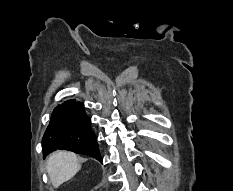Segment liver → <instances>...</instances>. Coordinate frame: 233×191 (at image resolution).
Listing matches in <instances>:
<instances>
[{
	"instance_id": "1",
	"label": "liver",
	"mask_w": 233,
	"mask_h": 191,
	"mask_svg": "<svg viewBox=\"0 0 233 191\" xmlns=\"http://www.w3.org/2000/svg\"><path fill=\"white\" fill-rule=\"evenodd\" d=\"M80 168L79 158L73 152L59 150L46 159V170L54 187L73 178Z\"/></svg>"
}]
</instances>
